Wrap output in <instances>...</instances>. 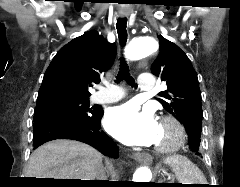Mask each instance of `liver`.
Segmentation results:
<instances>
[{
	"label": "liver",
	"mask_w": 240,
	"mask_h": 187,
	"mask_svg": "<svg viewBox=\"0 0 240 187\" xmlns=\"http://www.w3.org/2000/svg\"><path fill=\"white\" fill-rule=\"evenodd\" d=\"M102 155L84 143L59 139L37 148L30 156L27 178L95 180Z\"/></svg>",
	"instance_id": "obj_1"
}]
</instances>
